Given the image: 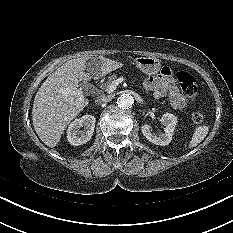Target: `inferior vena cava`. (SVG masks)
Instances as JSON below:
<instances>
[{"instance_id": "602c4592", "label": "inferior vena cava", "mask_w": 233, "mask_h": 233, "mask_svg": "<svg viewBox=\"0 0 233 233\" xmlns=\"http://www.w3.org/2000/svg\"><path fill=\"white\" fill-rule=\"evenodd\" d=\"M111 99L107 96H100L97 98V100L95 101L96 104H103V103H106V102H109Z\"/></svg>"}]
</instances>
